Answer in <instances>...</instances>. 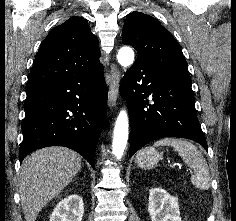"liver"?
<instances>
[{
  "instance_id": "1",
  "label": "liver",
  "mask_w": 236,
  "mask_h": 221,
  "mask_svg": "<svg viewBox=\"0 0 236 221\" xmlns=\"http://www.w3.org/2000/svg\"><path fill=\"white\" fill-rule=\"evenodd\" d=\"M81 169L80 156L65 147L33 152L21 165L20 200L26 221H35L42 208L59 194Z\"/></svg>"
}]
</instances>
